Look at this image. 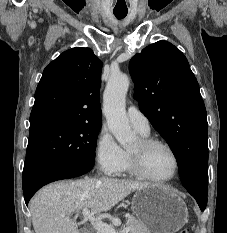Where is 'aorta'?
<instances>
[{
    "label": "aorta",
    "instance_id": "aorta-1",
    "mask_svg": "<svg viewBox=\"0 0 227 233\" xmlns=\"http://www.w3.org/2000/svg\"><path fill=\"white\" fill-rule=\"evenodd\" d=\"M126 74H112L104 92V114L108 128L122 146H128L136 139L125 110V97L129 88Z\"/></svg>",
    "mask_w": 227,
    "mask_h": 233
}]
</instances>
